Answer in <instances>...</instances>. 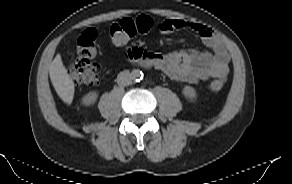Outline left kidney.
Wrapping results in <instances>:
<instances>
[{"instance_id":"left-kidney-1","label":"left kidney","mask_w":292,"mask_h":184,"mask_svg":"<svg viewBox=\"0 0 292 184\" xmlns=\"http://www.w3.org/2000/svg\"><path fill=\"white\" fill-rule=\"evenodd\" d=\"M182 93L187 99L191 101H193L197 97L196 90L191 86H185L182 90Z\"/></svg>"}]
</instances>
